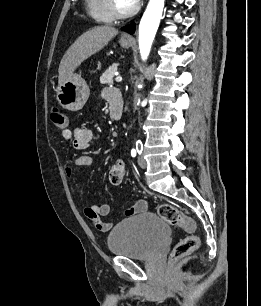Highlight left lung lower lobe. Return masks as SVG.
<instances>
[{
  "mask_svg": "<svg viewBox=\"0 0 261 306\" xmlns=\"http://www.w3.org/2000/svg\"><path fill=\"white\" fill-rule=\"evenodd\" d=\"M124 31L133 34L135 32V24H130L122 28Z\"/></svg>",
  "mask_w": 261,
  "mask_h": 306,
  "instance_id": "1",
  "label": "left lung lower lobe"
}]
</instances>
